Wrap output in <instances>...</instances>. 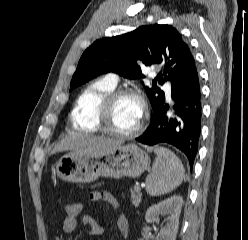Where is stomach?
<instances>
[{
  "label": "stomach",
  "instance_id": "0dacf381",
  "mask_svg": "<svg viewBox=\"0 0 248 240\" xmlns=\"http://www.w3.org/2000/svg\"><path fill=\"white\" fill-rule=\"evenodd\" d=\"M150 165L148 154L134 143L108 150L82 153L72 151L56 163L57 176L69 182L90 183L100 176L138 177Z\"/></svg>",
  "mask_w": 248,
  "mask_h": 240
}]
</instances>
